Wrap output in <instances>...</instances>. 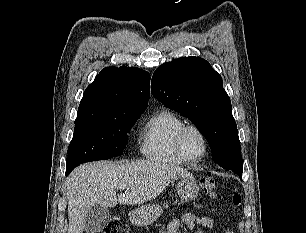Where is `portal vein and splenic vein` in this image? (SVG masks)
I'll return each instance as SVG.
<instances>
[{
	"instance_id": "portal-vein-and-splenic-vein-1",
	"label": "portal vein and splenic vein",
	"mask_w": 306,
	"mask_h": 233,
	"mask_svg": "<svg viewBox=\"0 0 306 233\" xmlns=\"http://www.w3.org/2000/svg\"><path fill=\"white\" fill-rule=\"evenodd\" d=\"M120 190H124V189H126L127 188V185H120L119 187H118Z\"/></svg>"
}]
</instances>
